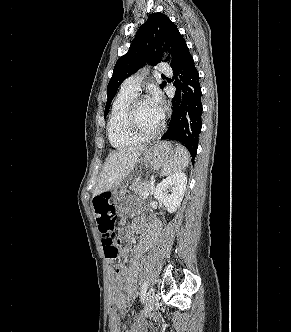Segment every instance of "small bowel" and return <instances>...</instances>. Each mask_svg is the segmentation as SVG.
<instances>
[{
  "instance_id": "1",
  "label": "small bowel",
  "mask_w": 291,
  "mask_h": 332,
  "mask_svg": "<svg viewBox=\"0 0 291 332\" xmlns=\"http://www.w3.org/2000/svg\"><path fill=\"white\" fill-rule=\"evenodd\" d=\"M121 224L124 225L119 232L118 255L121 258L128 256L129 246L134 243V235H139L140 240L134 247L128 264H120L115 269V283L111 293L114 309H126L129 306L136 292L140 259L158 235V225L154 222L147 224L145 229L139 223L125 225V219H121Z\"/></svg>"
}]
</instances>
